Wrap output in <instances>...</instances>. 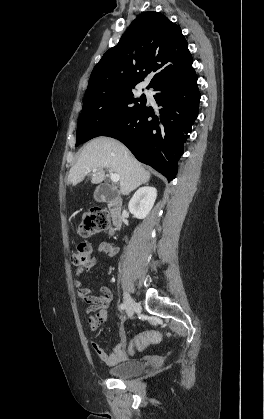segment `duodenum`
I'll return each instance as SVG.
<instances>
[{
  "label": "duodenum",
  "instance_id": "410a0bca",
  "mask_svg": "<svg viewBox=\"0 0 264 419\" xmlns=\"http://www.w3.org/2000/svg\"><path fill=\"white\" fill-rule=\"evenodd\" d=\"M110 210L113 225L116 230H119L123 224V208L122 200L115 195H110L106 198Z\"/></svg>",
  "mask_w": 264,
  "mask_h": 419
}]
</instances>
